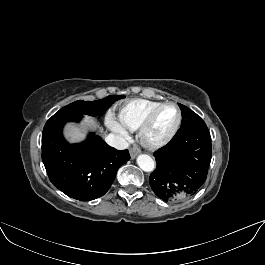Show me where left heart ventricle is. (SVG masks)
I'll return each mask as SVG.
<instances>
[{
	"label": "left heart ventricle",
	"instance_id": "left-heart-ventricle-1",
	"mask_svg": "<svg viewBox=\"0 0 265 265\" xmlns=\"http://www.w3.org/2000/svg\"><path fill=\"white\" fill-rule=\"evenodd\" d=\"M177 120V112L172 106L161 108L154 116L147 132L149 141H159L172 129Z\"/></svg>",
	"mask_w": 265,
	"mask_h": 265
}]
</instances>
